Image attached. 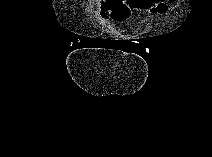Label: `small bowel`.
<instances>
[{"label":"small bowel","instance_id":"small-bowel-1","mask_svg":"<svg viewBox=\"0 0 212 157\" xmlns=\"http://www.w3.org/2000/svg\"><path fill=\"white\" fill-rule=\"evenodd\" d=\"M138 10L152 14H163L168 10L167 0H106L99 5V17L102 20L113 19L124 22Z\"/></svg>","mask_w":212,"mask_h":157}]
</instances>
